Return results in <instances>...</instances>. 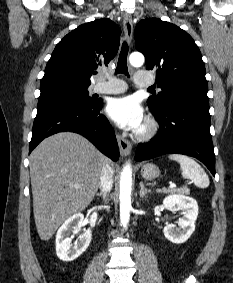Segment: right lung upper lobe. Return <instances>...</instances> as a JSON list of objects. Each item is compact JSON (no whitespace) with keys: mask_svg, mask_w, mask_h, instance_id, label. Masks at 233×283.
<instances>
[{"mask_svg":"<svg viewBox=\"0 0 233 283\" xmlns=\"http://www.w3.org/2000/svg\"><path fill=\"white\" fill-rule=\"evenodd\" d=\"M120 34L108 18L80 25L56 45L41 82L67 80L89 86L94 70H105L117 54Z\"/></svg>","mask_w":233,"mask_h":283,"instance_id":"cb5924a9","label":"right lung upper lobe"}]
</instances>
